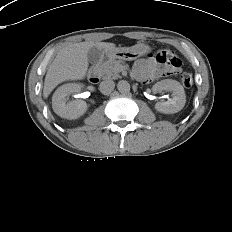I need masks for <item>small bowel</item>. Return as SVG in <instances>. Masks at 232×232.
<instances>
[{"label": "small bowel", "mask_w": 232, "mask_h": 232, "mask_svg": "<svg viewBox=\"0 0 232 232\" xmlns=\"http://www.w3.org/2000/svg\"><path fill=\"white\" fill-rule=\"evenodd\" d=\"M178 70L169 68L164 65H155L152 59H140L138 60L134 68L128 70L127 75L135 82L144 84L147 80L151 83H155L159 80H173L178 77Z\"/></svg>", "instance_id": "small-bowel-1"}]
</instances>
